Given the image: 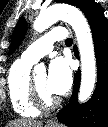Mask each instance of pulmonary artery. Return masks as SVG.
Returning a JSON list of instances; mask_svg holds the SVG:
<instances>
[{
	"label": "pulmonary artery",
	"instance_id": "1",
	"mask_svg": "<svg viewBox=\"0 0 108 127\" xmlns=\"http://www.w3.org/2000/svg\"><path fill=\"white\" fill-rule=\"evenodd\" d=\"M66 38L67 31L64 28H55L31 44L22 53V59L30 63H35L53 50L54 42Z\"/></svg>",
	"mask_w": 108,
	"mask_h": 127
}]
</instances>
